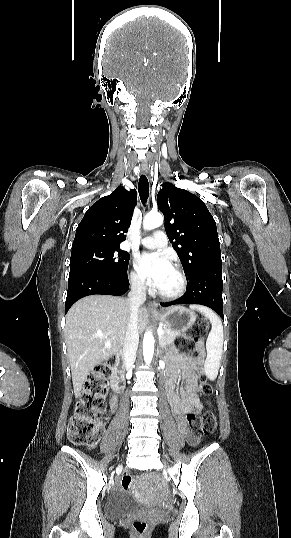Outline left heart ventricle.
Returning <instances> with one entry per match:
<instances>
[{"label": "left heart ventricle", "instance_id": "1", "mask_svg": "<svg viewBox=\"0 0 291 538\" xmlns=\"http://www.w3.org/2000/svg\"><path fill=\"white\" fill-rule=\"evenodd\" d=\"M180 284V279L177 275V273L171 269L164 277L161 285L158 287V289L165 291V292H172L175 291Z\"/></svg>", "mask_w": 291, "mask_h": 538}]
</instances>
